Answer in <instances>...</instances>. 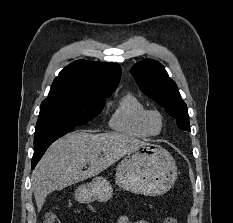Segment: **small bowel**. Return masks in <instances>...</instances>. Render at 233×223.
<instances>
[{"label":"small bowel","mask_w":233,"mask_h":223,"mask_svg":"<svg viewBox=\"0 0 233 223\" xmlns=\"http://www.w3.org/2000/svg\"><path fill=\"white\" fill-rule=\"evenodd\" d=\"M115 223H131V220L127 215L120 214L116 216ZM133 223H148V221L137 215H133Z\"/></svg>","instance_id":"c3829d8e"}]
</instances>
